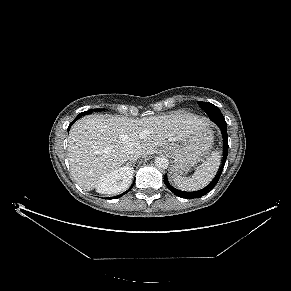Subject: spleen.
<instances>
[{
	"label": "spleen",
	"instance_id": "obj_1",
	"mask_svg": "<svg viewBox=\"0 0 291 291\" xmlns=\"http://www.w3.org/2000/svg\"><path fill=\"white\" fill-rule=\"evenodd\" d=\"M220 166V155L213 151L203 163L196 168L191 177H174L175 186L183 191H196L207 186L215 177Z\"/></svg>",
	"mask_w": 291,
	"mask_h": 291
}]
</instances>
